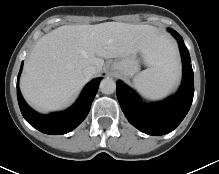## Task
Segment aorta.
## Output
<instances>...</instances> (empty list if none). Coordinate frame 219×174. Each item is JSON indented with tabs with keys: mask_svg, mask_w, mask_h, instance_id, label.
<instances>
[{
	"mask_svg": "<svg viewBox=\"0 0 219 174\" xmlns=\"http://www.w3.org/2000/svg\"><path fill=\"white\" fill-rule=\"evenodd\" d=\"M100 91L103 94H112L116 91V83L111 78H105L100 82Z\"/></svg>",
	"mask_w": 219,
	"mask_h": 174,
	"instance_id": "1",
	"label": "aorta"
}]
</instances>
